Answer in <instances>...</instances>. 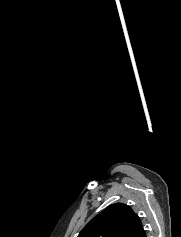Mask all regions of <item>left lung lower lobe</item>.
I'll return each mask as SVG.
<instances>
[{"mask_svg": "<svg viewBox=\"0 0 181 237\" xmlns=\"http://www.w3.org/2000/svg\"><path fill=\"white\" fill-rule=\"evenodd\" d=\"M142 237H146V233H144Z\"/></svg>", "mask_w": 181, "mask_h": 237, "instance_id": "left-lung-lower-lobe-1", "label": "left lung lower lobe"}]
</instances>
